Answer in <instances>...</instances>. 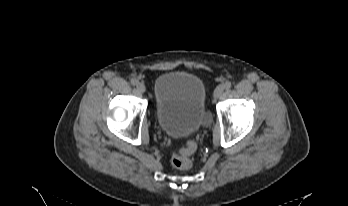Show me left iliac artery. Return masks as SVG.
Listing matches in <instances>:
<instances>
[{"mask_svg": "<svg viewBox=\"0 0 348 206\" xmlns=\"http://www.w3.org/2000/svg\"><path fill=\"white\" fill-rule=\"evenodd\" d=\"M231 86H232V84H231L230 81H226L225 84H224V88H225L226 90L230 89Z\"/></svg>", "mask_w": 348, "mask_h": 206, "instance_id": "left-iliac-artery-1", "label": "left iliac artery"}]
</instances>
